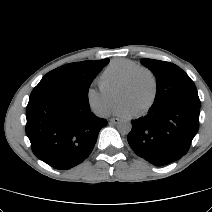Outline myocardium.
<instances>
[{
	"instance_id": "f54148a6",
	"label": "myocardium",
	"mask_w": 212,
	"mask_h": 212,
	"mask_svg": "<svg viewBox=\"0 0 212 212\" xmlns=\"http://www.w3.org/2000/svg\"><path fill=\"white\" fill-rule=\"evenodd\" d=\"M146 75L148 76V78L150 79L151 82V95L150 98L148 100V102L138 111L134 112V115L139 117L142 115H145L147 112L150 111V109L153 107L156 98H157V94H158V81H157V77L156 75L153 73V71H151L150 69L146 68V67H138L137 69H135L127 78V80L123 83V85L120 88L118 97L121 96V94L125 91H127L129 88H131L136 79L138 78V76L140 75Z\"/></svg>"
}]
</instances>
